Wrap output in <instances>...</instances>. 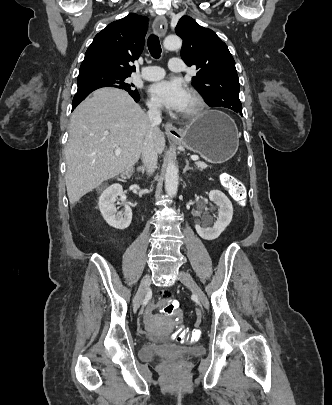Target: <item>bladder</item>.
Returning <instances> with one entry per match:
<instances>
[{
  "label": "bladder",
  "mask_w": 332,
  "mask_h": 405,
  "mask_svg": "<svg viewBox=\"0 0 332 405\" xmlns=\"http://www.w3.org/2000/svg\"><path fill=\"white\" fill-rule=\"evenodd\" d=\"M148 339L152 344L144 346L140 350V358L143 361H152L157 358L169 357H193L201 353L198 346H180L174 344H161L160 338L154 334H148Z\"/></svg>",
  "instance_id": "obj_1"
}]
</instances>
